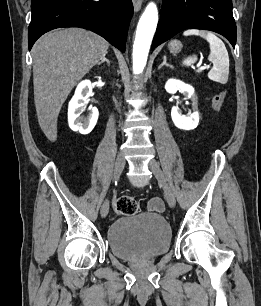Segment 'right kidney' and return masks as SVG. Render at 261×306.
I'll return each instance as SVG.
<instances>
[{"label": "right kidney", "instance_id": "obj_1", "mask_svg": "<svg viewBox=\"0 0 261 306\" xmlns=\"http://www.w3.org/2000/svg\"><path fill=\"white\" fill-rule=\"evenodd\" d=\"M92 92L91 82L84 80L80 82L75 90V94L72 97L68 105V122L73 131H78L81 134L90 133L96 125L98 120V110L96 107H90V113L88 117H80L82 109L88 102V98Z\"/></svg>", "mask_w": 261, "mask_h": 306}]
</instances>
